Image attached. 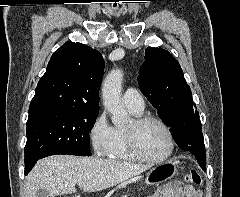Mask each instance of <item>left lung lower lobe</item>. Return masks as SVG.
<instances>
[{"label": "left lung lower lobe", "instance_id": "1", "mask_svg": "<svg viewBox=\"0 0 240 197\" xmlns=\"http://www.w3.org/2000/svg\"><path fill=\"white\" fill-rule=\"evenodd\" d=\"M199 165L201 166V168L205 171L206 170V166H205V163H206V160H197Z\"/></svg>", "mask_w": 240, "mask_h": 197}]
</instances>
